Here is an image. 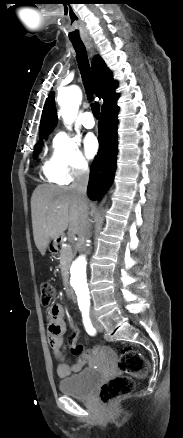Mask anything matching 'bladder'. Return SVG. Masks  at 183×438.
I'll return each mask as SVG.
<instances>
[{
  "mask_svg": "<svg viewBox=\"0 0 183 438\" xmlns=\"http://www.w3.org/2000/svg\"><path fill=\"white\" fill-rule=\"evenodd\" d=\"M100 381V375L92 369H84L76 375L66 377L59 382L62 394L87 399Z\"/></svg>",
  "mask_w": 183,
  "mask_h": 438,
  "instance_id": "1",
  "label": "bladder"
}]
</instances>
